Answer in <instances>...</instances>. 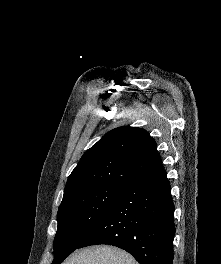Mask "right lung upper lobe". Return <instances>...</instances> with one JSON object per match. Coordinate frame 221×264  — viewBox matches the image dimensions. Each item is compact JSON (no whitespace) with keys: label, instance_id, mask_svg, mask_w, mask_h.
Wrapping results in <instances>:
<instances>
[{"label":"right lung upper lobe","instance_id":"right-lung-upper-lobe-1","mask_svg":"<svg viewBox=\"0 0 221 264\" xmlns=\"http://www.w3.org/2000/svg\"><path fill=\"white\" fill-rule=\"evenodd\" d=\"M162 167L157 144L146 130L119 127L85 152L68 178L63 199L96 185H127Z\"/></svg>","mask_w":221,"mask_h":264}]
</instances>
